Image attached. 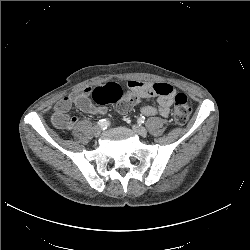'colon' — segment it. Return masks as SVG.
<instances>
[{
    "label": "colon",
    "instance_id": "1",
    "mask_svg": "<svg viewBox=\"0 0 250 250\" xmlns=\"http://www.w3.org/2000/svg\"><path fill=\"white\" fill-rule=\"evenodd\" d=\"M92 98L99 105L116 104L120 113H127L139 101L140 95L131 90L124 92L118 84L109 82L95 87ZM191 111L186 95L178 93L172 111L173 120L178 124H184L188 121Z\"/></svg>",
    "mask_w": 250,
    "mask_h": 250
}]
</instances>
